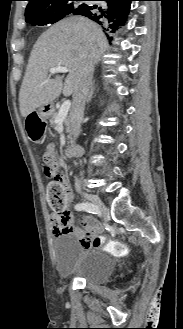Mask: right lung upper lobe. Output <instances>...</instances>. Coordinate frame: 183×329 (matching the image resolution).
Instances as JSON below:
<instances>
[{
  "instance_id": "obj_1",
  "label": "right lung upper lobe",
  "mask_w": 183,
  "mask_h": 329,
  "mask_svg": "<svg viewBox=\"0 0 183 329\" xmlns=\"http://www.w3.org/2000/svg\"><path fill=\"white\" fill-rule=\"evenodd\" d=\"M29 3L25 10V19L30 21L32 19H43L51 14L53 6L60 4L67 0H28Z\"/></svg>"
}]
</instances>
